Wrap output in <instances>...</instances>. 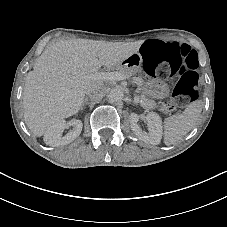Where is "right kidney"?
I'll list each match as a JSON object with an SVG mask.
<instances>
[{
  "label": "right kidney",
  "instance_id": "right-kidney-1",
  "mask_svg": "<svg viewBox=\"0 0 227 227\" xmlns=\"http://www.w3.org/2000/svg\"><path fill=\"white\" fill-rule=\"evenodd\" d=\"M73 125V129L63 135L68 125L64 118L59 119L56 123L48 127L43 134V142L49 146L66 145L74 141L82 131V123L80 120H74L69 123Z\"/></svg>",
  "mask_w": 227,
  "mask_h": 227
}]
</instances>
